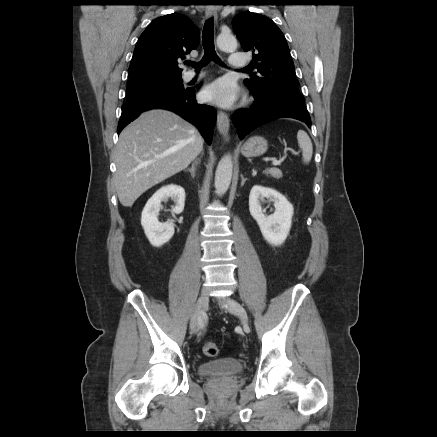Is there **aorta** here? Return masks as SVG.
Instances as JSON below:
<instances>
[{"label":"aorta","mask_w":437,"mask_h":437,"mask_svg":"<svg viewBox=\"0 0 437 437\" xmlns=\"http://www.w3.org/2000/svg\"><path fill=\"white\" fill-rule=\"evenodd\" d=\"M217 46L223 51H233L237 48V40L231 33H221L217 37ZM233 164L231 156L225 155L218 163L215 173V188L219 194H224L231 183Z\"/></svg>","instance_id":"aorta-1"}]
</instances>
